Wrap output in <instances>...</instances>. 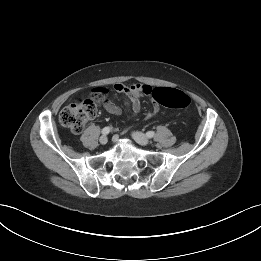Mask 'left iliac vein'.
<instances>
[{
  "label": "left iliac vein",
  "mask_w": 261,
  "mask_h": 261,
  "mask_svg": "<svg viewBox=\"0 0 261 261\" xmlns=\"http://www.w3.org/2000/svg\"><path fill=\"white\" fill-rule=\"evenodd\" d=\"M133 139L140 145L146 146L150 143V140L141 132H133Z\"/></svg>",
  "instance_id": "4c4485c4"
}]
</instances>
